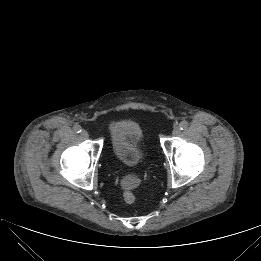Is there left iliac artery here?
I'll list each match as a JSON object with an SVG mask.
<instances>
[{"label":"left iliac artery","instance_id":"left-iliac-artery-1","mask_svg":"<svg viewBox=\"0 0 261 261\" xmlns=\"http://www.w3.org/2000/svg\"><path fill=\"white\" fill-rule=\"evenodd\" d=\"M179 128H180L181 130H186V129L188 128V122H187V121H182V122H180Z\"/></svg>","mask_w":261,"mask_h":261}]
</instances>
